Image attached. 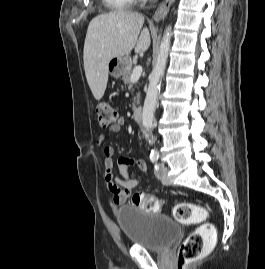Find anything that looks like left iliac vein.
<instances>
[{"label": "left iliac vein", "instance_id": "obj_1", "mask_svg": "<svg viewBox=\"0 0 265 269\" xmlns=\"http://www.w3.org/2000/svg\"><path fill=\"white\" fill-rule=\"evenodd\" d=\"M161 181L165 185L170 184V180L168 178V169L165 166H161Z\"/></svg>", "mask_w": 265, "mask_h": 269}]
</instances>
